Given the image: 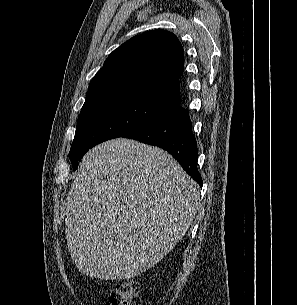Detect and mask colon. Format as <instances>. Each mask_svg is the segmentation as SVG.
<instances>
[{
	"label": "colon",
	"instance_id": "obj_1",
	"mask_svg": "<svg viewBox=\"0 0 297 305\" xmlns=\"http://www.w3.org/2000/svg\"><path fill=\"white\" fill-rule=\"evenodd\" d=\"M106 305H141L138 284L130 279L121 280Z\"/></svg>",
	"mask_w": 297,
	"mask_h": 305
}]
</instances>
